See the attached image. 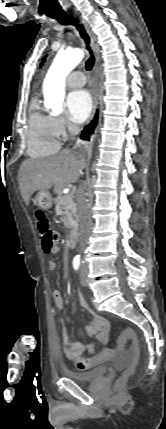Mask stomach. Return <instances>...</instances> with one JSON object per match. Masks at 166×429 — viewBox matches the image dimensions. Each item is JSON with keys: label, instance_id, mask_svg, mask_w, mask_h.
<instances>
[{"label": "stomach", "instance_id": "1", "mask_svg": "<svg viewBox=\"0 0 166 429\" xmlns=\"http://www.w3.org/2000/svg\"><path fill=\"white\" fill-rule=\"evenodd\" d=\"M36 205L43 209L48 210L52 207V197L48 191H39L35 197Z\"/></svg>", "mask_w": 166, "mask_h": 429}]
</instances>
